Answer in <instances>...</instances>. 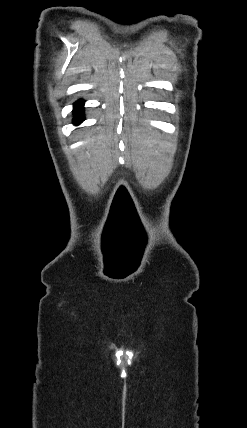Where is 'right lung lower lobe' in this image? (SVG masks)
<instances>
[{
  "mask_svg": "<svg viewBox=\"0 0 247 428\" xmlns=\"http://www.w3.org/2000/svg\"><path fill=\"white\" fill-rule=\"evenodd\" d=\"M74 115H75V119H74V123L75 124H79L80 122H82L84 120L83 117V105H84V101L83 100H78L77 102H75L74 104Z\"/></svg>",
  "mask_w": 247,
  "mask_h": 428,
  "instance_id": "98d812e1",
  "label": "right lung lower lobe"
}]
</instances>
